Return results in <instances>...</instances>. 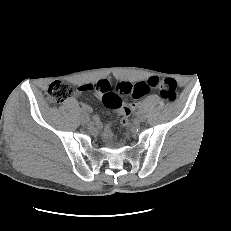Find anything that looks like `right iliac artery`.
Listing matches in <instances>:
<instances>
[{"label": "right iliac artery", "mask_w": 231, "mask_h": 231, "mask_svg": "<svg viewBox=\"0 0 231 231\" xmlns=\"http://www.w3.org/2000/svg\"><path fill=\"white\" fill-rule=\"evenodd\" d=\"M81 111H82L83 113H85V114H86V113H87V111H88V109H87L86 107H82V108H81Z\"/></svg>", "instance_id": "1"}]
</instances>
